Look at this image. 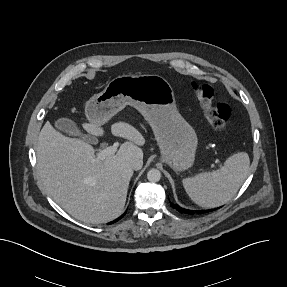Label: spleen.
Here are the masks:
<instances>
[{
    "label": "spleen",
    "instance_id": "obj_1",
    "mask_svg": "<svg viewBox=\"0 0 287 287\" xmlns=\"http://www.w3.org/2000/svg\"><path fill=\"white\" fill-rule=\"evenodd\" d=\"M249 166L248 154L239 152L231 155L218 170L183 179V187L197 205L218 207L234 197L248 175Z\"/></svg>",
    "mask_w": 287,
    "mask_h": 287
}]
</instances>
